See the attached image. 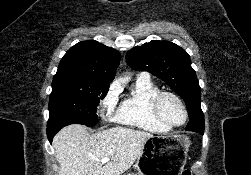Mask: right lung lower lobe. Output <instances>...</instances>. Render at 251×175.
Returning a JSON list of instances; mask_svg holds the SVG:
<instances>
[{"instance_id":"1","label":"right lung lower lobe","mask_w":251,"mask_h":175,"mask_svg":"<svg viewBox=\"0 0 251 175\" xmlns=\"http://www.w3.org/2000/svg\"><path fill=\"white\" fill-rule=\"evenodd\" d=\"M65 124H61V125H56V126H50L49 124L47 125V136L48 139L50 141V143H52V139L54 137V135L61 129L64 127Z\"/></svg>"}]
</instances>
